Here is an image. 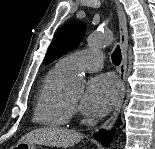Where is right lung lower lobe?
<instances>
[{
    "mask_svg": "<svg viewBox=\"0 0 155 149\" xmlns=\"http://www.w3.org/2000/svg\"><path fill=\"white\" fill-rule=\"evenodd\" d=\"M114 131H106V130H100L98 133V136L95 137L99 142H101L104 146H109L111 143V140L113 138Z\"/></svg>",
    "mask_w": 155,
    "mask_h": 149,
    "instance_id": "1",
    "label": "right lung lower lobe"
}]
</instances>
